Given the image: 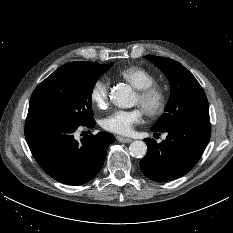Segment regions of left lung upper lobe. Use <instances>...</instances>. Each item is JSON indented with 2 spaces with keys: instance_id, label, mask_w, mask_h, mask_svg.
Segmentation results:
<instances>
[{
  "instance_id": "1",
  "label": "left lung upper lobe",
  "mask_w": 233,
  "mask_h": 233,
  "mask_svg": "<svg viewBox=\"0 0 233 233\" xmlns=\"http://www.w3.org/2000/svg\"><path fill=\"white\" fill-rule=\"evenodd\" d=\"M168 77L171 97L164 113L153 126L158 131L190 119L209 120L206 94L196 78L180 63L154 55L145 56Z\"/></svg>"
}]
</instances>
